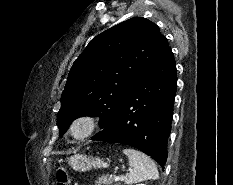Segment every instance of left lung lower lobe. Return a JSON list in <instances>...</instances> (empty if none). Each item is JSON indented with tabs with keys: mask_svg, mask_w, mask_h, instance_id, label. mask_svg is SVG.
<instances>
[{
	"mask_svg": "<svg viewBox=\"0 0 233 185\" xmlns=\"http://www.w3.org/2000/svg\"><path fill=\"white\" fill-rule=\"evenodd\" d=\"M176 88V63L168 46L137 81L114 122L92 140L133 146L165 165Z\"/></svg>",
	"mask_w": 233,
	"mask_h": 185,
	"instance_id": "obj_1",
	"label": "left lung lower lobe"
}]
</instances>
